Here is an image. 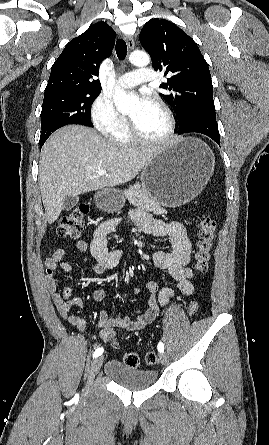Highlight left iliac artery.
<instances>
[{"instance_id":"obj_1","label":"left iliac artery","mask_w":269,"mask_h":445,"mask_svg":"<svg viewBox=\"0 0 269 445\" xmlns=\"http://www.w3.org/2000/svg\"><path fill=\"white\" fill-rule=\"evenodd\" d=\"M157 348H158V351L160 353H162L164 351V344L162 342H159Z\"/></svg>"}]
</instances>
